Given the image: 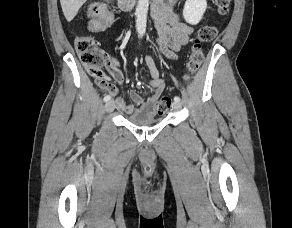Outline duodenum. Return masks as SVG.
Here are the masks:
<instances>
[{
  "label": "duodenum",
  "instance_id": "1",
  "mask_svg": "<svg viewBox=\"0 0 292 228\" xmlns=\"http://www.w3.org/2000/svg\"><path fill=\"white\" fill-rule=\"evenodd\" d=\"M134 1L135 0H118V4L122 10L127 11L132 8V6L134 5ZM155 1L156 3L159 2V0H155Z\"/></svg>",
  "mask_w": 292,
  "mask_h": 228
}]
</instances>
